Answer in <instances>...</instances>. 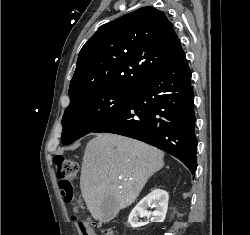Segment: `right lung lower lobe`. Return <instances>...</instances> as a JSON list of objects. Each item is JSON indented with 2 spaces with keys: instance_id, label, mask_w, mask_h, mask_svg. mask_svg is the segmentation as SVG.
I'll return each mask as SVG.
<instances>
[{
  "instance_id": "1",
  "label": "right lung lower lobe",
  "mask_w": 250,
  "mask_h": 235,
  "mask_svg": "<svg viewBox=\"0 0 250 235\" xmlns=\"http://www.w3.org/2000/svg\"><path fill=\"white\" fill-rule=\"evenodd\" d=\"M191 70L181 44L169 63L142 81L131 98L93 132L114 133L153 145L197 168Z\"/></svg>"
}]
</instances>
